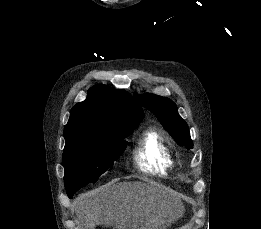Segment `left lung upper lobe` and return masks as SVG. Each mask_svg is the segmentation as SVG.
Wrapping results in <instances>:
<instances>
[{"label": "left lung upper lobe", "mask_w": 261, "mask_h": 229, "mask_svg": "<svg viewBox=\"0 0 261 229\" xmlns=\"http://www.w3.org/2000/svg\"><path fill=\"white\" fill-rule=\"evenodd\" d=\"M135 99L150 110L180 146L193 148V141L186 122L179 116L176 104L166 97L151 93L134 94Z\"/></svg>", "instance_id": "1"}]
</instances>
